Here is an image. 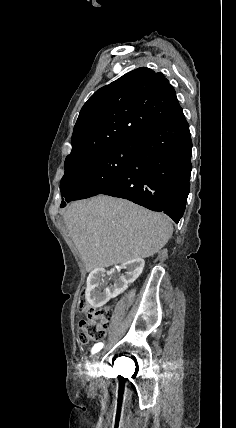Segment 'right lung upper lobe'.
<instances>
[{
    "instance_id": "obj_1",
    "label": "right lung upper lobe",
    "mask_w": 236,
    "mask_h": 428,
    "mask_svg": "<svg viewBox=\"0 0 236 428\" xmlns=\"http://www.w3.org/2000/svg\"><path fill=\"white\" fill-rule=\"evenodd\" d=\"M180 108L174 88L162 73L146 67L128 72L98 89L84 104L64 167L137 139Z\"/></svg>"
}]
</instances>
